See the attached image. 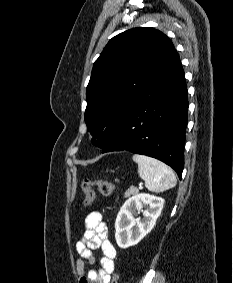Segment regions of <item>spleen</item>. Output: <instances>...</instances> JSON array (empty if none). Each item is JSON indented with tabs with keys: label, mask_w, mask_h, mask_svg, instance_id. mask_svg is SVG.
<instances>
[{
	"label": "spleen",
	"mask_w": 233,
	"mask_h": 283,
	"mask_svg": "<svg viewBox=\"0 0 233 283\" xmlns=\"http://www.w3.org/2000/svg\"><path fill=\"white\" fill-rule=\"evenodd\" d=\"M133 161L138 164L140 178L145 181L146 188L152 192H163L176 185V176L166 164L154 158L134 154Z\"/></svg>",
	"instance_id": "3e777b00"
}]
</instances>
